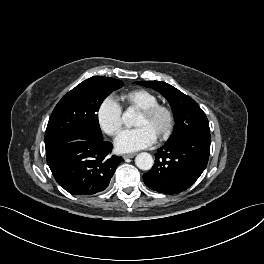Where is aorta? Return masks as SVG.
<instances>
[{
  "mask_svg": "<svg viewBox=\"0 0 264 264\" xmlns=\"http://www.w3.org/2000/svg\"><path fill=\"white\" fill-rule=\"evenodd\" d=\"M122 120L126 126H132L134 122V111L129 108L123 113ZM153 163L152 156L146 152L139 153L135 158V164L141 170H150Z\"/></svg>",
  "mask_w": 264,
  "mask_h": 264,
  "instance_id": "1",
  "label": "aorta"
}]
</instances>
